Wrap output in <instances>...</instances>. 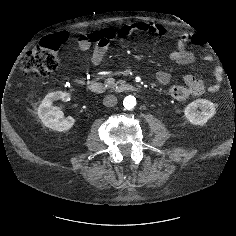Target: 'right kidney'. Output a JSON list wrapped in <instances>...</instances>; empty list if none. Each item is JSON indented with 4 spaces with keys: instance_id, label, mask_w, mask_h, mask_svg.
I'll return each instance as SVG.
<instances>
[{
    "instance_id": "right-kidney-1",
    "label": "right kidney",
    "mask_w": 236,
    "mask_h": 236,
    "mask_svg": "<svg viewBox=\"0 0 236 236\" xmlns=\"http://www.w3.org/2000/svg\"><path fill=\"white\" fill-rule=\"evenodd\" d=\"M69 97V94L62 91L49 93L45 96L38 107V116L46 127L63 132L69 130L74 125L75 120L73 117H64V113L60 109L52 108L54 101Z\"/></svg>"
}]
</instances>
